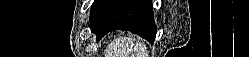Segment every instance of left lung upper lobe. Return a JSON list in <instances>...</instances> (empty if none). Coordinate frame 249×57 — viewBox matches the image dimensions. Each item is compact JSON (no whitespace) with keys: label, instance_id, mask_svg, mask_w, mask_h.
Here are the masks:
<instances>
[{"label":"left lung upper lobe","instance_id":"obj_1","mask_svg":"<svg viewBox=\"0 0 249 57\" xmlns=\"http://www.w3.org/2000/svg\"><path fill=\"white\" fill-rule=\"evenodd\" d=\"M107 0H95L92 7H91V15L90 18H92L96 12L100 9V7L106 2Z\"/></svg>","mask_w":249,"mask_h":57}]
</instances>
